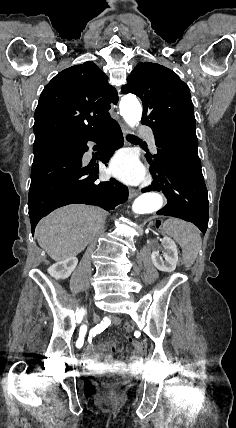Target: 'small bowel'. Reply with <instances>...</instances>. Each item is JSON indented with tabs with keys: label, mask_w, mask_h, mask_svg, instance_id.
<instances>
[{
	"label": "small bowel",
	"mask_w": 236,
	"mask_h": 428,
	"mask_svg": "<svg viewBox=\"0 0 236 428\" xmlns=\"http://www.w3.org/2000/svg\"><path fill=\"white\" fill-rule=\"evenodd\" d=\"M118 317H105L96 327L90 331V338L99 334L105 328L111 325H118ZM115 344L113 342L100 343L95 350L91 342L86 346L84 360L87 364L94 367H116L122 370H135L141 366L144 360L145 347L140 342L134 343V353L128 360H116L113 357Z\"/></svg>",
	"instance_id": "small-bowel-1"
}]
</instances>
